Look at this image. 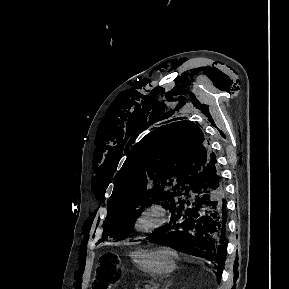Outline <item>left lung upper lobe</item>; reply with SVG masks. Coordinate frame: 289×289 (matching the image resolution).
<instances>
[{
	"mask_svg": "<svg viewBox=\"0 0 289 289\" xmlns=\"http://www.w3.org/2000/svg\"><path fill=\"white\" fill-rule=\"evenodd\" d=\"M213 156L201 129L189 121L173 122L146 135L115 176L100 241L126 239L133 219L154 200L171 208Z\"/></svg>",
	"mask_w": 289,
	"mask_h": 289,
	"instance_id": "5c2ea615",
	"label": "left lung upper lobe"
}]
</instances>
